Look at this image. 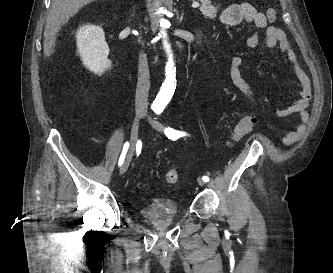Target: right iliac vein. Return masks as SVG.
<instances>
[{
  "instance_id": "obj_1",
  "label": "right iliac vein",
  "mask_w": 333,
  "mask_h": 273,
  "mask_svg": "<svg viewBox=\"0 0 333 273\" xmlns=\"http://www.w3.org/2000/svg\"><path fill=\"white\" fill-rule=\"evenodd\" d=\"M142 117H143V114H137V116L133 122L131 134H130V149H129L128 155H127L124 163L122 164V166L120 168V172H119L120 175H123L129 167L130 161L132 159V156H133V153H134L137 141H138L139 125H140V121H141Z\"/></svg>"
}]
</instances>
